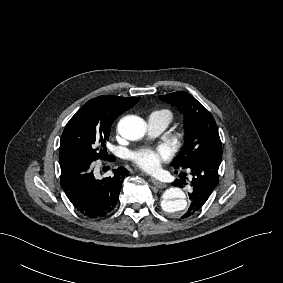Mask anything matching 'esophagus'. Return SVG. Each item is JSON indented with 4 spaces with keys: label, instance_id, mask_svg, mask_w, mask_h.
<instances>
[{
    "label": "esophagus",
    "instance_id": "esophagus-1",
    "mask_svg": "<svg viewBox=\"0 0 283 283\" xmlns=\"http://www.w3.org/2000/svg\"><path fill=\"white\" fill-rule=\"evenodd\" d=\"M151 181H152V183L156 186V187H158V188H165V187H167V184L166 183H164V182H161V181H159V180H157V179H155V178H151Z\"/></svg>",
    "mask_w": 283,
    "mask_h": 283
}]
</instances>
